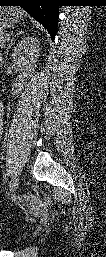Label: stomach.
<instances>
[{
    "label": "stomach",
    "instance_id": "stomach-1",
    "mask_svg": "<svg viewBox=\"0 0 106 257\" xmlns=\"http://www.w3.org/2000/svg\"><path fill=\"white\" fill-rule=\"evenodd\" d=\"M0 13L1 29L9 28L19 23L22 18L21 11L12 7H2Z\"/></svg>",
    "mask_w": 106,
    "mask_h": 257
}]
</instances>
